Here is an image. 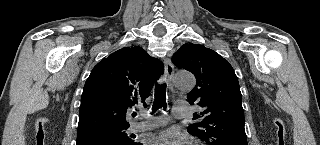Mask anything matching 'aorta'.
I'll list each match as a JSON object with an SVG mask.
<instances>
[{
	"mask_svg": "<svg viewBox=\"0 0 320 145\" xmlns=\"http://www.w3.org/2000/svg\"><path fill=\"white\" fill-rule=\"evenodd\" d=\"M174 82L176 87L183 90H189L196 84L195 77L188 72L179 71L174 75Z\"/></svg>",
	"mask_w": 320,
	"mask_h": 145,
	"instance_id": "aorta-1",
	"label": "aorta"
}]
</instances>
